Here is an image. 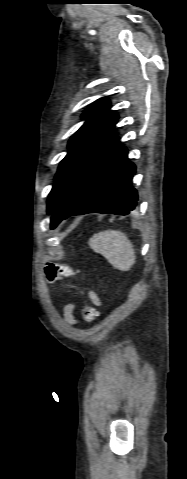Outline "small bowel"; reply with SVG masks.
<instances>
[{
    "label": "small bowel",
    "instance_id": "small-bowel-1",
    "mask_svg": "<svg viewBox=\"0 0 187 479\" xmlns=\"http://www.w3.org/2000/svg\"><path fill=\"white\" fill-rule=\"evenodd\" d=\"M89 298L93 302L97 304L99 303V299L94 292L89 293ZM74 309H75V305L72 303H68L64 305L63 308L61 309V319L65 324H68L70 326H75L77 324V320L74 316Z\"/></svg>",
    "mask_w": 187,
    "mask_h": 479
}]
</instances>
